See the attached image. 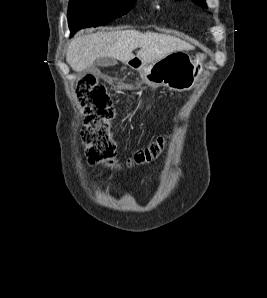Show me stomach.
I'll return each instance as SVG.
<instances>
[{"instance_id":"1","label":"stomach","mask_w":267,"mask_h":298,"mask_svg":"<svg viewBox=\"0 0 267 298\" xmlns=\"http://www.w3.org/2000/svg\"><path fill=\"white\" fill-rule=\"evenodd\" d=\"M204 59L202 53L192 59L187 53L177 51L154 63H145L139 59L137 70L150 85L166 86L172 91L183 92L192 89L199 80L204 72Z\"/></svg>"}]
</instances>
